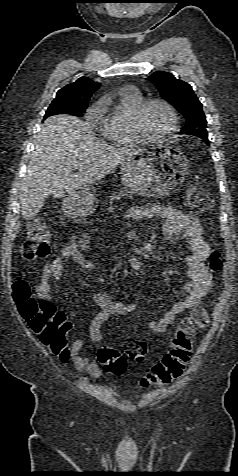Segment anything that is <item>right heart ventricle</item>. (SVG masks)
Masks as SVG:
<instances>
[{
	"label": "right heart ventricle",
	"instance_id": "obj_1",
	"mask_svg": "<svg viewBox=\"0 0 238 476\" xmlns=\"http://www.w3.org/2000/svg\"><path fill=\"white\" fill-rule=\"evenodd\" d=\"M143 100L142 95L133 89H123L108 97L96 111L99 131L104 139L117 146L139 143L132 128V117Z\"/></svg>",
	"mask_w": 238,
	"mask_h": 476
}]
</instances>
